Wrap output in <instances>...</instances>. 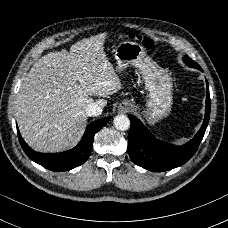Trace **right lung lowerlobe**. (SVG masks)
I'll list each match as a JSON object with an SVG mask.
<instances>
[{
  "instance_id": "1",
  "label": "right lung lower lobe",
  "mask_w": 228,
  "mask_h": 228,
  "mask_svg": "<svg viewBox=\"0 0 228 228\" xmlns=\"http://www.w3.org/2000/svg\"><path fill=\"white\" fill-rule=\"evenodd\" d=\"M112 117H104L89 124L84 136L73 149L53 154H44L33 151L22 139L19 130L18 137L26 155L39 165L55 172H62L73 169L83 164L89 157L93 146L94 135L104 127Z\"/></svg>"
}]
</instances>
